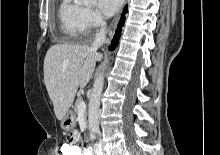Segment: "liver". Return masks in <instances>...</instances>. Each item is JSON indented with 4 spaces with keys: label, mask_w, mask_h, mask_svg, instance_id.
Here are the masks:
<instances>
[{
    "label": "liver",
    "mask_w": 220,
    "mask_h": 155,
    "mask_svg": "<svg viewBox=\"0 0 220 155\" xmlns=\"http://www.w3.org/2000/svg\"><path fill=\"white\" fill-rule=\"evenodd\" d=\"M101 58L85 45L55 44L49 48L44 59V83L59 121L71 107L78 87L88 84Z\"/></svg>",
    "instance_id": "1"
}]
</instances>
